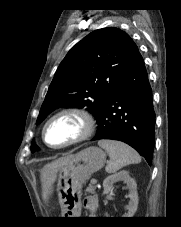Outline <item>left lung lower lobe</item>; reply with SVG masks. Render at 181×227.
Wrapping results in <instances>:
<instances>
[{"mask_svg":"<svg viewBox=\"0 0 181 227\" xmlns=\"http://www.w3.org/2000/svg\"><path fill=\"white\" fill-rule=\"evenodd\" d=\"M100 139L125 142L151 164L155 112L147 71L139 52L116 85L98 120V131L92 140Z\"/></svg>","mask_w":181,"mask_h":227,"instance_id":"1","label":"left lung lower lobe"}]
</instances>
